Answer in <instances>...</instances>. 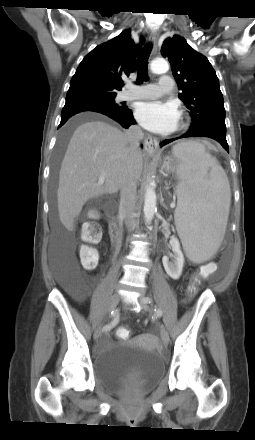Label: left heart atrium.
<instances>
[{"instance_id": "39dd6f15", "label": "left heart atrium", "mask_w": 255, "mask_h": 440, "mask_svg": "<svg viewBox=\"0 0 255 440\" xmlns=\"http://www.w3.org/2000/svg\"><path fill=\"white\" fill-rule=\"evenodd\" d=\"M135 116L145 129L161 134L173 131L179 121V111L176 105L171 102L141 103L136 109Z\"/></svg>"}]
</instances>
